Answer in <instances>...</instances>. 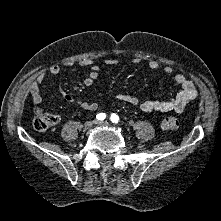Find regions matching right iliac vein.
I'll return each instance as SVG.
<instances>
[{
    "label": "right iliac vein",
    "mask_w": 221,
    "mask_h": 221,
    "mask_svg": "<svg viewBox=\"0 0 221 221\" xmlns=\"http://www.w3.org/2000/svg\"><path fill=\"white\" fill-rule=\"evenodd\" d=\"M97 121L95 120V121H87V122H85V124H84V128L86 129V130H88V129H90L92 126H93V124L94 123H96Z\"/></svg>",
    "instance_id": "right-iliac-vein-1"
}]
</instances>
